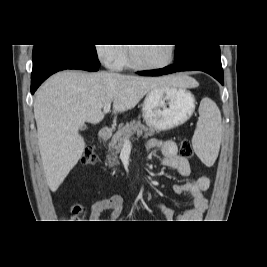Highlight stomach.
<instances>
[{
  "instance_id": "1",
  "label": "stomach",
  "mask_w": 267,
  "mask_h": 267,
  "mask_svg": "<svg viewBox=\"0 0 267 267\" xmlns=\"http://www.w3.org/2000/svg\"><path fill=\"white\" fill-rule=\"evenodd\" d=\"M195 109L194 95L185 87L165 86L147 93L142 113L145 122L160 131L185 123Z\"/></svg>"
}]
</instances>
